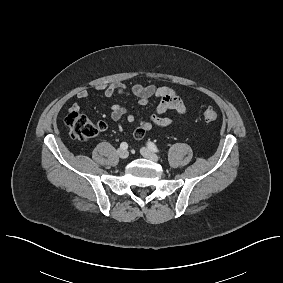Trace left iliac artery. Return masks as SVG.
Instances as JSON below:
<instances>
[{
    "instance_id": "obj_1",
    "label": "left iliac artery",
    "mask_w": 283,
    "mask_h": 283,
    "mask_svg": "<svg viewBox=\"0 0 283 283\" xmlns=\"http://www.w3.org/2000/svg\"><path fill=\"white\" fill-rule=\"evenodd\" d=\"M147 146H148V148H149L151 151H153V152H159L157 146H156L154 143L148 142Z\"/></svg>"
}]
</instances>
